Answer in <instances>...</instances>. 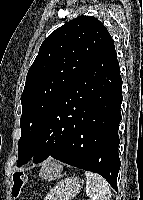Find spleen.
<instances>
[{
    "mask_svg": "<svg viewBox=\"0 0 143 200\" xmlns=\"http://www.w3.org/2000/svg\"><path fill=\"white\" fill-rule=\"evenodd\" d=\"M85 176L87 178L86 194L91 200H110V186L102 176L90 171H86Z\"/></svg>",
    "mask_w": 143,
    "mask_h": 200,
    "instance_id": "obj_1",
    "label": "spleen"
}]
</instances>
